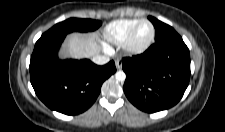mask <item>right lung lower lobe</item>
<instances>
[{
    "label": "right lung lower lobe",
    "mask_w": 225,
    "mask_h": 132,
    "mask_svg": "<svg viewBox=\"0 0 225 132\" xmlns=\"http://www.w3.org/2000/svg\"><path fill=\"white\" fill-rule=\"evenodd\" d=\"M66 34L44 33L30 60V81L39 99L66 115L86 111L97 99L102 83L116 72L110 61L98 66L88 59L60 60L58 49Z\"/></svg>",
    "instance_id": "98d812e1"
}]
</instances>
